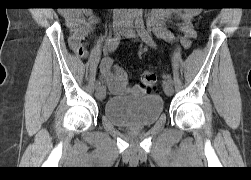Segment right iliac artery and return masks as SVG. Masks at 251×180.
<instances>
[{
	"label": "right iliac artery",
	"mask_w": 251,
	"mask_h": 180,
	"mask_svg": "<svg viewBox=\"0 0 251 180\" xmlns=\"http://www.w3.org/2000/svg\"><path fill=\"white\" fill-rule=\"evenodd\" d=\"M135 17H136V13H134V12L128 13V15H127V24L128 25L132 24L133 20L135 19ZM120 39H121L120 36H116V37L110 38L107 41V44H106V51H107V53L108 52L111 53V52H114L116 50V48L119 45ZM100 85H101V82L99 80L96 81L95 87L97 88Z\"/></svg>",
	"instance_id": "right-iliac-artery-1"
}]
</instances>
